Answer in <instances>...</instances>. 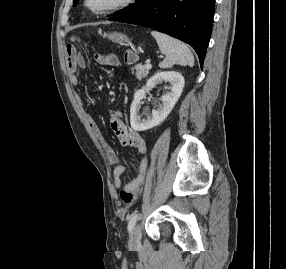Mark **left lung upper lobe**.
I'll return each mask as SVG.
<instances>
[{
	"label": "left lung upper lobe",
	"instance_id": "obj_1",
	"mask_svg": "<svg viewBox=\"0 0 286 269\" xmlns=\"http://www.w3.org/2000/svg\"><path fill=\"white\" fill-rule=\"evenodd\" d=\"M78 0H73V4H76ZM149 0H136V5L133 7H126L123 10H119L116 13H118V15H116L113 18H110V20H118V19H122L124 17L130 16L132 14H134L135 12L141 10L143 7H145V5L147 4Z\"/></svg>",
	"mask_w": 286,
	"mask_h": 269
}]
</instances>
